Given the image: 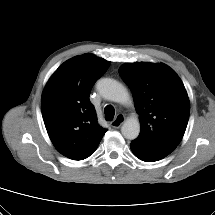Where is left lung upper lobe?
<instances>
[{"instance_id": "1", "label": "left lung upper lobe", "mask_w": 215, "mask_h": 215, "mask_svg": "<svg viewBox=\"0 0 215 215\" xmlns=\"http://www.w3.org/2000/svg\"><path fill=\"white\" fill-rule=\"evenodd\" d=\"M119 74L132 91L140 134L131 143L167 156L180 143L190 103L178 75L165 64L128 63Z\"/></svg>"}]
</instances>
